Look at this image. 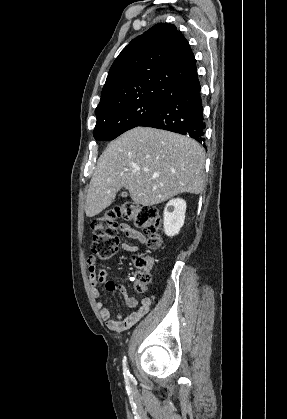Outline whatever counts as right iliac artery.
I'll return each mask as SVG.
<instances>
[{
	"mask_svg": "<svg viewBox=\"0 0 287 419\" xmlns=\"http://www.w3.org/2000/svg\"><path fill=\"white\" fill-rule=\"evenodd\" d=\"M123 374H124L125 379H128V378L131 377V374H130V372L127 368V364H126V356H124V358H123Z\"/></svg>",
	"mask_w": 287,
	"mask_h": 419,
	"instance_id": "82829eb1",
	"label": "right iliac artery"
}]
</instances>
